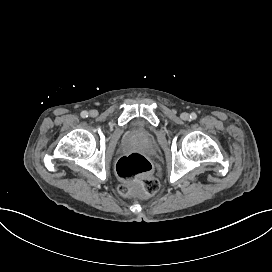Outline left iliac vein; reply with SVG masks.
Wrapping results in <instances>:
<instances>
[{
	"instance_id": "4c4485c4",
	"label": "left iliac vein",
	"mask_w": 272,
	"mask_h": 272,
	"mask_svg": "<svg viewBox=\"0 0 272 272\" xmlns=\"http://www.w3.org/2000/svg\"><path fill=\"white\" fill-rule=\"evenodd\" d=\"M181 118L183 120H188L189 119V114L188 113H182Z\"/></svg>"
}]
</instances>
